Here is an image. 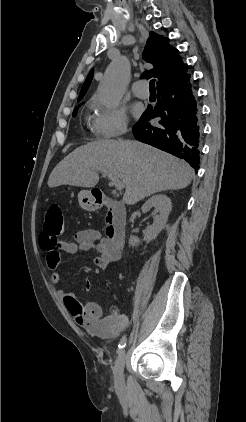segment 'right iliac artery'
I'll use <instances>...</instances> for the list:
<instances>
[{
	"label": "right iliac artery",
	"instance_id": "82829eb1",
	"mask_svg": "<svg viewBox=\"0 0 246 422\" xmlns=\"http://www.w3.org/2000/svg\"><path fill=\"white\" fill-rule=\"evenodd\" d=\"M125 345H126V336H123V337L121 338L120 342H119V345H118L119 351H120L121 349H123ZM119 351H118V352H119Z\"/></svg>",
	"mask_w": 246,
	"mask_h": 422
}]
</instances>
